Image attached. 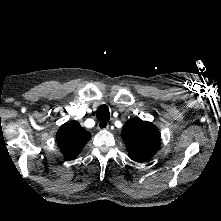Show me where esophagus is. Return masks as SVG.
<instances>
[{
    "instance_id": "obj_1",
    "label": "esophagus",
    "mask_w": 221,
    "mask_h": 221,
    "mask_svg": "<svg viewBox=\"0 0 221 221\" xmlns=\"http://www.w3.org/2000/svg\"><path fill=\"white\" fill-rule=\"evenodd\" d=\"M97 128H98L99 130H107V129H109V124L106 123V122H99V123L97 124Z\"/></svg>"
}]
</instances>
